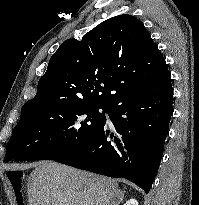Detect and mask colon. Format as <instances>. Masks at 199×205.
Masks as SVG:
<instances>
[{"label":"colon","instance_id":"obj_1","mask_svg":"<svg viewBox=\"0 0 199 205\" xmlns=\"http://www.w3.org/2000/svg\"><path fill=\"white\" fill-rule=\"evenodd\" d=\"M8 179L12 185L13 191L17 196L22 193V185L25 179V175L22 171H12L8 174Z\"/></svg>","mask_w":199,"mask_h":205}]
</instances>
